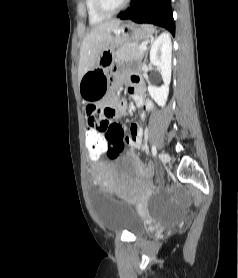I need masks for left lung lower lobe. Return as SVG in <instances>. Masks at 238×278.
Segmentation results:
<instances>
[{
    "label": "left lung lower lobe",
    "mask_w": 238,
    "mask_h": 278,
    "mask_svg": "<svg viewBox=\"0 0 238 278\" xmlns=\"http://www.w3.org/2000/svg\"><path fill=\"white\" fill-rule=\"evenodd\" d=\"M119 18L162 26L175 35L170 0H132L130 7Z\"/></svg>",
    "instance_id": "obj_1"
}]
</instances>
